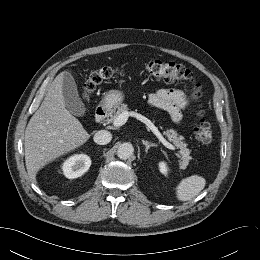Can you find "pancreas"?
Returning a JSON list of instances; mask_svg holds the SVG:
<instances>
[{
	"mask_svg": "<svg viewBox=\"0 0 260 260\" xmlns=\"http://www.w3.org/2000/svg\"><path fill=\"white\" fill-rule=\"evenodd\" d=\"M128 111L127 104H121L117 106V111L111 115V118L108 120L109 122H113L121 113ZM163 134L167 137V139L172 142L177 148H179V152L177 156L180 158V168L185 169L188 164L189 160L191 159L190 150L187 147V144L183 141V137L180 136L175 130L167 129L163 132Z\"/></svg>",
	"mask_w": 260,
	"mask_h": 260,
	"instance_id": "obj_1",
	"label": "pancreas"
}]
</instances>
